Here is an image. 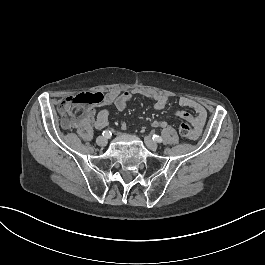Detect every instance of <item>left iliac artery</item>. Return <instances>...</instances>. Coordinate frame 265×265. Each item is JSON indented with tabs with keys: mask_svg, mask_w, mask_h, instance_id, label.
<instances>
[{
	"mask_svg": "<svg viewBox=\"0 0 265 265\" xmlns=\"http://www.w3.org/2000/svg\"><path fill=\"white\" fill-rule=\"evenodd\" d=\"M153 140H155L158 143L162 142V138L160 136H158V135H153Z\"/></svg>",
	"mask_w": 265,
	"mask_h": 265,
	"instance_id": "obj_1",
	"label": "left iliac artery"
}]
</instances>
